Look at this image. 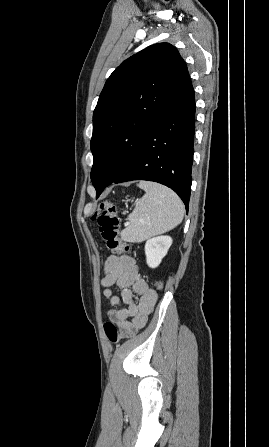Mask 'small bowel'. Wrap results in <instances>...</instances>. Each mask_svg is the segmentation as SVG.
Returning <instances> with one entry per match:
<instances>
[{"label":"small bowel","instance_id":"small-bowel-1","mask_svg":"<svg viewBox=\"0 0 269 447\" xmlns=\"http://www.w3.org/2000/svg\"><path fill=\"white\" fill-rule=\"evenodd\" d=\"M104 273L103 296L115 307L108 312L109 319L120 328L143 327L158 296L142 277L135 260L126 255H110L104 263ZM112 285L120 290V296L110 289ZM134 294L139 296L138 301Z\"/></svg>","mask_w":269,"mask_h":447}]
</instances>
